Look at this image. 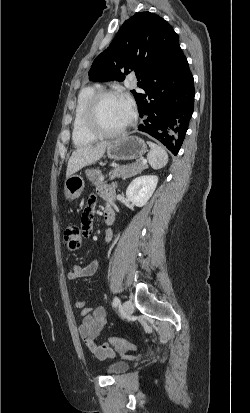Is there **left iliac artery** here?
<instances>
[{
  "label": "left iliac artery",
  "instance_id": "left-iliac-artery-1",
  "mask_svg": "<svg viewBox=\"0 0 250 413\" xmlns=\"http://www.w3.org/2000/svg\"><path fill=\"white\" fill-rule=\"evenodd\" d=\"M120 304V299L118 297H114L113 299V306L117 307Z\"/></svg>",
  "mask_w": 250,
  "mask_h": 413
}]
</instances>
